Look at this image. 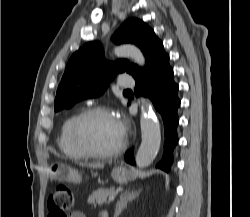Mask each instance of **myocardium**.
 I'll list each match as a JSON object with an SVG mask.
<instances>
[{
  "label": "myocardium",
  "mask_w": 250,
  "mask_h": 217,
  "mask_svg": "<svg viewBox=\"0 0 250 217\" xmlns=\"http://www.w3.org/2000/svg\"><path fill=\"white\" fill-rule=\"evenodd\" d=\"M95 114H108L113 116L112 110L104 105H94L90 106L84 110H82L75 118L72 128H71V134H72V139L77 148L85 155L88 157H93V158H111L114 156L119 155L126 147V137L125 134L123 133L122 135V140L119 143L117 147H115L112 150L109 151H98L94 148H92L84 139L83 134H82V126L84 121Z\"/></svg>",
  "instance_id": "1"
}]
</instances>
